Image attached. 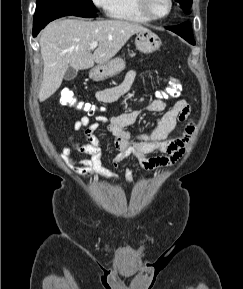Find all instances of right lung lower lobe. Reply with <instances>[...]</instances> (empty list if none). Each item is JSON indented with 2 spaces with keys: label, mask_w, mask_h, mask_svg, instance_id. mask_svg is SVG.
I'll return each mask as SVG.
<instances>
[{
  "label": "right lung lower lobe",
  "mask_w": 243,
  "mask_h": 289,
  "mask_svg": "<svg viewBox=\"0 0 243 289\" xmlns=\"http://www.w3.org/2000/svg\"><path fill=\"white\" fill-rule=\"evenodd\" d=\"M79 16V17H96L97 15L93 12H75L71 10H48V11H39L36 10L34 14V23H33V36H37L42 28L45 27L50 21L54 19L64 17V16Z\"/></svg>",
  "instance_id": "obj_1"
}]
</instances>
